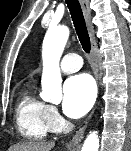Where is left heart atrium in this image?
Returning a JSON list of instances; mask_svg holds the SVG:
<instances>
[{
  "label": "left heart atrium",
  "instance_id": "obj_1",
  "mask_svg": "<svg viewBox=\"0 0 131 151\" xmlns=\"http://www.w3.org/2000/svg\"><path fill=\"white\" fill-rule=\"evenodd\" d=\"M96 87L90 75L82 73L67 79L63 88V110L71 118L83 116L92 106Z\"/></svg>",
  "mask_w": 131,
  "mask_h": 151
}]
</instances>
